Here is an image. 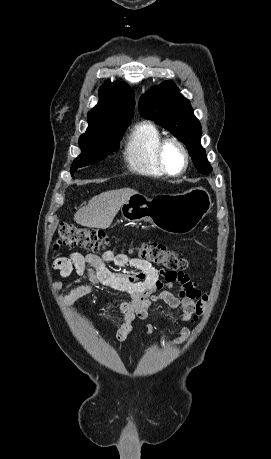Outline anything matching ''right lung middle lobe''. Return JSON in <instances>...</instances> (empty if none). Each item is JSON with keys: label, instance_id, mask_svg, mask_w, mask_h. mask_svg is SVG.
<instances>
[{"label": "right lung middle lobe", "instance_id": "obj_1", "mask_svg": "<svg viewBox=\"0 0 271 459\" xmlns=\"http://www.w3.org/2000/svg\"><path fill=\"white\" fill-rule=\"evenodd\" d=\"M130 120H99L89 122L87 131L79 138L82 153L72 163L70 172L96 163L119 148V141Z\"/></svg>", "mask_w": 271, "mask_h": 459}]
</instances>
